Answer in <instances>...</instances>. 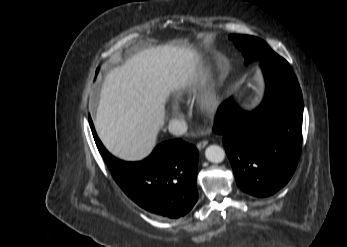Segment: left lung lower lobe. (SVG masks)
Wrapping results in <instances>:
<instances>
[{
  "label": "left lung lower lobe",
  "instance_id": "obj_1",
  "mask_svg": "<svg viewBox=\"0 0 347 247\" xmlns=\"http://www.w3.org/2000/svg\"><path fill=\"white\" fill-rule=\"evenodd\" d=\"M266 93L252 112L232 98L220 106L214 133L223 136L236 182L245 192L267 197L287 184L300 157L303 99L288 62L263 59Z\"/></svg>",
  "mask_w": 347,
  "mask_h": 247
}]
</instances>
